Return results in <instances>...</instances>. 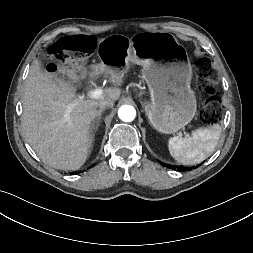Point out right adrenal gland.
I'll return each mask as SVG.
<instances>
[{
    "mask_svg": "<svg viewBox=\"0 0 253 253\" xmlns=\"http://www.w3.org/2000/svg\"><path fill=\"white\" fill-rule=\"evenodd\" d=\"M104 110L105 109H100L97 111V116H96L95 120H93L92 125H91L92 132H96L98 130V127L100 125L101 115ZM94 134L95 133H93L92 136H94Z\"/></svg>",
    "mask_w": 253,
    "mask_h": 253,
    "instance_id": "obj_1",
    "label": "right adrenal gland"
}]
</instances>
